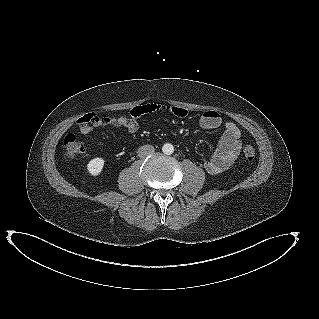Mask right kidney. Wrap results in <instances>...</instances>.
I'll return each instance as SVG.
<instances>
[{
    "label": "right kidney",
    "mask_w": 319,
    "mask_h": 319,
    "mask_svg": "<svg viewBox=\"0 0 319 319\" xmlns=\"http://www.w3.org/2000/svg\"><path fill=\"white\" fill-rule=\"evenodd\" d=\"M104 167V159L103 158H94L89 161L87 164V170L92 176H97L101 173Z\"/></svg>",
    "instance_id": "1"
}]
</instances>
